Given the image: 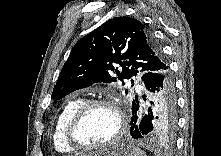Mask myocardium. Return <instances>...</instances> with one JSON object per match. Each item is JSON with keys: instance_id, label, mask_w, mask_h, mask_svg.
Wrapping results in <instances>:
<instances>
[{"instance_id": "myocardium-1", "label": "myocardium", "mask_w": 221, "mask_h": 156, "mask_svg": "<svg viewBox=\"0 0 221 156\" xmlns=\"http://www.w3.org/2000/svg\"><path fill=\"white\" fill-rule=\"evenodd\" d=\"M96 107H107L114 111L118 121V127L113 136L107 141L100 144H85L79 141L76 137V129L84 118V116L93 108ZM126 128L125 117L120 109V107L110 99H92L85 101L81 104L69 117L64 131L65 141L69 146L74 149L79 150H98L109 147L116 143L121 136L124 134Z\"/></svg>"}]
</instances>
